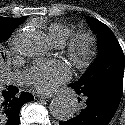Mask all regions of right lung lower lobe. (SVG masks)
Instances as JSON below:
<instances>
[{
  "instance_id": "right-lung-lower-lobe-1",
  "label": "right lung lower lobe",
  "mask_w": 125,
  "mask_h": 125,
  "mask_svg": "<svg viewBox=\"0 0 125 125\" xmlns=\"http://www.w3.org/2000/svg\"><path fill=\"white\" fill-rule=\"evenodd\" d=\"M34 97L29 92H18V88L10 85L0 95V125H19L21 106Z\"/></svg>"
}]
</instances>
